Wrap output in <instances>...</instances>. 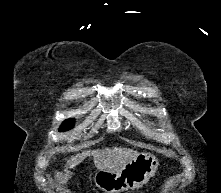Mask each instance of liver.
<instances>
[{"mask_svg": "<svg viewBox=\"0 0 221 193\" xmlns=\"http://www.w3.org/2000/svg\"><path fill=\"white\" fill-rule=\"evenodd\" d=\"M139 153L125 147H113L97 150H88L72 156L66 167L73 168L88 156H93L94 165L98 170H120L125 164L137 157Z\"/></svg>", "mask_w": 221, "mask_h": 193, "instance_id": "liver-1", "label": "liver"}]
</instances>
